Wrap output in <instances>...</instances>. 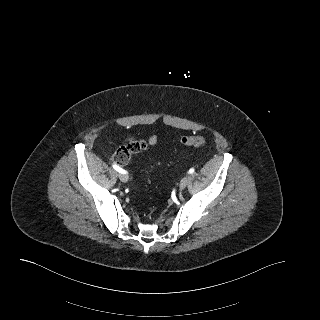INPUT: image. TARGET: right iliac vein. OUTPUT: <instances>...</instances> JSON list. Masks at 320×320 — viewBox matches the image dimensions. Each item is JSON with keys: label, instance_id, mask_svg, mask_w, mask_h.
<instances>
[{"label": "right iliac vein", "instance_id": "obj_1", "mask_svg": "<svg viewBox=\"0 0 320 320\" xmlns=\"http://www.w3.org/2000/svg\"><path fill=\"white\" fill-rule=\"evenodd\" d=\"M119 179L122 181V182H127L128 181V176L125 174V173H120L119 174Z\"/></svg>", "mask_w": 320, "mask_h": 320}]
</instances>
